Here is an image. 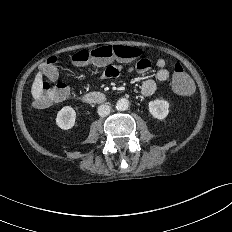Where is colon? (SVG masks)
Segmentation results:
<instances>
[{
  "label": "colon",
  "instance_id": "obj_1",
  "mask_svg": "<svg viewBox=\"0 0 232 232\" xmlns=\"http://www.w3.org/2000/svg\"><path fill=\"white\" fill-rule=\"evenodd\" d=\"M142 55V50L132 46H100L90 50H80L70 58L75 66H85L89 63L106 64L112 60L124 62L134 61ZM57 56L49 57L42 69L45 80L42 82V92L35 99L34 106L39 109L48 107L52 102L64 99L69 94V87L65 83L50 85L48 80L54 81L58 77ZM172 85L174 90L183 96L191 94L193 83L181 64L176 63L173 68Z\"/></svg>",
  "mask_w": 232,
  "mask_h": 232
}]
</instances>
